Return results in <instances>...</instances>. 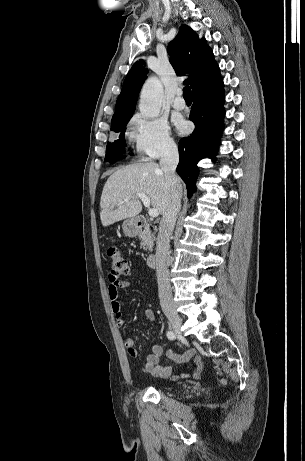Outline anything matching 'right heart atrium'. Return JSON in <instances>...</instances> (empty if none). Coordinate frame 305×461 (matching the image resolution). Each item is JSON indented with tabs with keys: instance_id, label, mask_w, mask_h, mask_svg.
Listing matches in <instances>:
<instances>
[{
	"instance_id": "obj_1",
	"label": "right heart atrium",
	"mask_w": 305,
	"mask_h": 461,
	"mask_svg": "<svg viewBox=\"0 0 305 461\" xmlns=\"http://www.w3.org/2000/svg\"><path fill=\"white\" fill-rule=\"evenodd\" d=\"M130 137L137 155L143 160L156 159L176 150L166 120L136 114L130 121Z\"/></svg>"
}]
</instances>
